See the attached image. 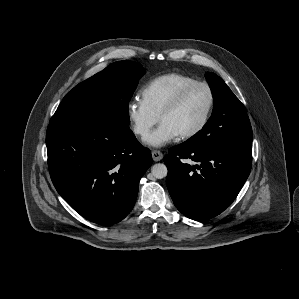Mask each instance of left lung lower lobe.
Instances as JSON below:
<instances>
[{
	"label": "left lung lower lobe",
	"mask_w": 299,
	"mask_h": 299,
	"mask_svg": "<svg viewBox=\"0 0 299 299\" xmlns=\"http://www.w3.org/2000/svg\"><path fill=\"white\" fill-rule=\"evenodd\" d=\"M164 162L176 208L190 219L204 221L223 212L237 197L250 174L252 149H203L184 142L172 147Z\"/></svg>",
	"instance_id": "1"
}]
</instances>
